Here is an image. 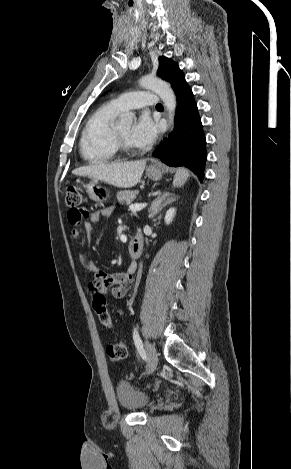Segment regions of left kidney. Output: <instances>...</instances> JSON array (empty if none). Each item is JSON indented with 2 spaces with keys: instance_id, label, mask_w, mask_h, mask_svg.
<instances>
[{
  "instance_id": "obj_1",
  "label": "left kidney",
  "mask_w": 291,
  "mask_h": 469,
  "mask_svg": "<svg viewBox=\"0 0 291 469\" xmlns=\"http://www.w3.org/2000/svg\"><path fill=\"white\" fill-rule=\"evenodd\" d=\"M176 210L175 208H170L165 216V223L170 224L175 216Z\"/></svg>"
}]
</instances>
